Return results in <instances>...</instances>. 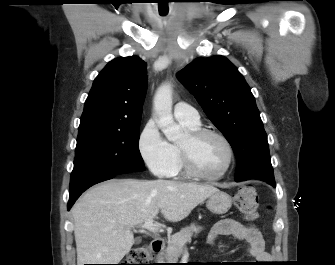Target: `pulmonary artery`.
I'll return each instance as SVG.
<instances>
[{"label":"pulmonary artery","mask_w":335,"mask_h":265,"mask_svg":"<svg viewBox=\"0 0 335 265\" xmlns=\"http://www.w3.org/2000/svg\"><path fill=\"white\" fill-rule=\"evenodd\" d=\"M174 116L177 120L188 124H200V117L198 111L191 105L184 102H179L175 105Z\"/></svg>","instance_id":"pulmonary-artery-1"}]
</instances>
